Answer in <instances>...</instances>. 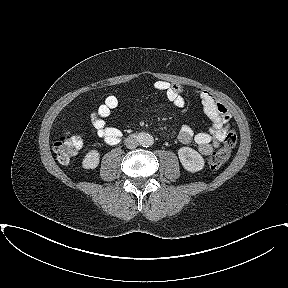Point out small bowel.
<instances>
[{"label": "small bowel", "mask_w": 288, "mask_h": 288, "mask_svg": "<svg viewBox=\"0 0 288 288\" xmlns=\"http://www.w3.org/2000/svg\"><path fill=\"white\" fill-rule=\"evenodd\" d=\"M154 88L165 94L166 98L176 107L185 105L184 90L180 84L164 80H157ZM205 114L212 122L208 132L195 133L190 126H183L178 133V140L188 145L194 142L198 151L205 156L210 155L224 140L229 129V111L222 103L218 102L212 94L206 90L196 89ZM119 106V100L114 95L106 97L91 117L92 132L108 145H115L122 137L119 129L107 126L106 119L111 112Z\"/></svg>", "instance_id": "c3829d8e"}]
</instances>
